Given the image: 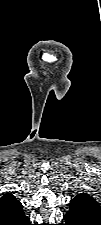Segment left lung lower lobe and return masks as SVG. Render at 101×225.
I'll return each instance as SVG.
<instances>
[{
  "label": "left lung lower lobe",
  "mask_w": 101,
  "mask_h": 225,
  "mask_svg": "<svg viewBox=\"0 0 101 225\" xmlns=\"http://www.w3.org/2000/svg\"><path fill=\"white\" fill-rule=\"evenodd\" d=\"M63 225H101L100 214L80 210L70 209L64 216Z\"/></svg>",
  "instance_id": "obj_1"
}]
</instances>
